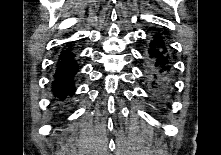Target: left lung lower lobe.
<instances>
[{
  "instance_id": "left-lung-lower-lobe-1",
  "label": "left lung lower lobe",
  "mask_w": 221,
  "mask_h": 155,
  "mask_svg": "<svg viewBox=\"0 0 221 155\" xmlns=\"http://www.w3.org/2000/svg\"><path fill=\"white\" fill-rule=\"evenodd\" d=\"M149 54L151 58V77L154 78L156 85L163 86L166 82L169 66L166 48L160 35H156L151 42Z\"/></svg>"
}]
</instances>
